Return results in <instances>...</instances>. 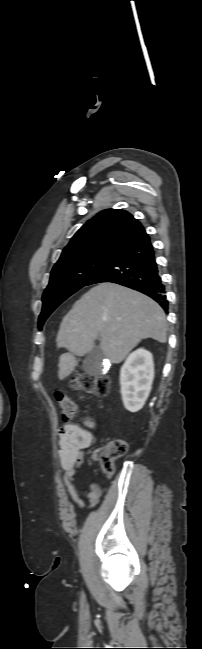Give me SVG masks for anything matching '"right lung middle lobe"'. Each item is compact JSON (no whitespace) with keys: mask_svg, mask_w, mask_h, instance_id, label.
<instances>
[{"mask_svg":"<svg viewBox=\"0 0 202 649\" xmlns=\"http://www.w3.org/2000/svg\"><path fill=\"white\" fill-rule=\"evenodd\" d=\"M114 255L111 252L91 251L59 260L52 269L50 282L43 294L39 329L59 304L85 286L92 275Z\"/></svg>","mask_w":202,"mask_h":649,"instance_id":"right-lung-middle-lobe-1","label":"right lung middle lobe"}]
</instances>
